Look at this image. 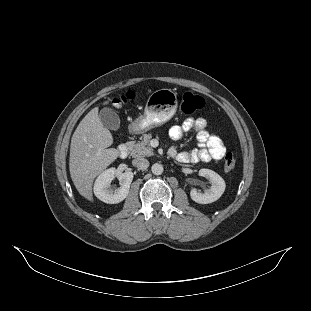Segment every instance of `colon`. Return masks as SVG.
<instances>
[{
  "instance_id": "colon-1",
  "label": "colon",
  "mask_w": 311,
  "mask_h": 311,
  "mask_svg": "<svg viewBox=\"0 0 311 311\" xmlns=\"http://www.w3.org/2000/svg\"><path fill=\"white\" fill-rule=\"evenodd\" d=\"M126 101L125 97H122L120 100L115 101V105H120ZM205 105L204 99L193 93L185 92L182 96L181 109L185 114H193L201 110ZM236 164V159L232 153H227L223 161V168L225 171H231L234 169Z\"/></svg>"
}]
</instances>
